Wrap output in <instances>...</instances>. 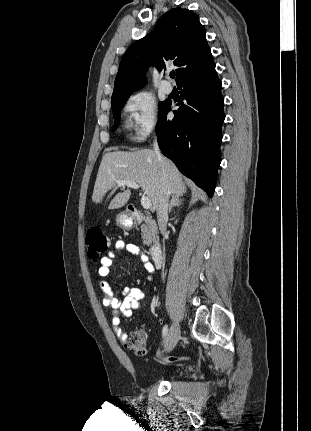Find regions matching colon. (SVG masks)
Segmentation results:
<instances>
[{"instance_id": "obj_1", "label": "colon", "mask_w": 311, "mask_h": 431, "mask_svg": "<svg viewBox=\"0 0 311 431\" xmlns=\"http://www.w3.org/2000/svg\"><path fill=\"white\" fill-rule=\"evenodd\" d=\"M86 247L88 257L92 261H98L108 251L110 240L100 229H92L86 236ZM146 340V331L139 328L130 333L124 342V346L136 355H144L147 352ZM169 360H176V358L171 357Z\"/></svg>"}]
</instances>
